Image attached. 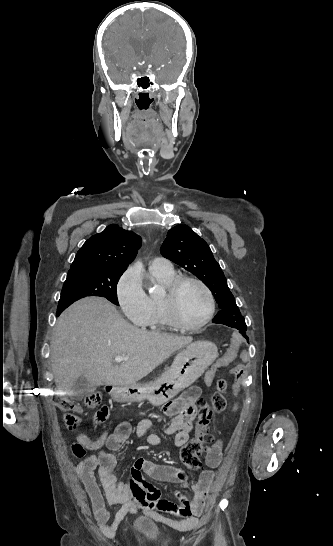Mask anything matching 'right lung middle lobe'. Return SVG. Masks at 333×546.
<instances>
[{
	"mask_svg": "<svg viewBox=\"0 0 333 546\" xmlns=\"http://www.w3.org/2000/svg\"><path fill=\"white\" fill-rule=\"evenodd\" d=\"M124 271L93 268L84 273L68 274L57 310H64L76 300L86 296L105 297L115 305H119L116 286Z\"/></svg>",
	"mask_w": 333,
	"mask_h": 546,
	"instance_id": "right-lung-middle-lobe-1",
	"label": "right lung middle lobe"
}]
</instances>
